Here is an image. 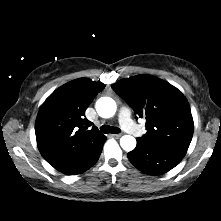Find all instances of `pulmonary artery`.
<instances>
[{"label": "pulmonary artery", "mask_w": 221, "mask_h": 221, "mask_svg": "<svg viewBox=\"0 0 221 221\" xmlns=\"http://www.w3.org/2000/svg\"><path fill=\"white\" fill-rule=\"evenodd\" d=\"M119 122L122 128L133 135H140L141 131L137 125L132 121L130 110L126 107H122L118 114Z\"/></svg>", "instance_id": "e3ab8cb5"}]
</instances>
